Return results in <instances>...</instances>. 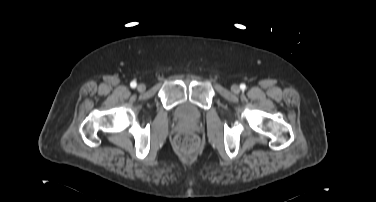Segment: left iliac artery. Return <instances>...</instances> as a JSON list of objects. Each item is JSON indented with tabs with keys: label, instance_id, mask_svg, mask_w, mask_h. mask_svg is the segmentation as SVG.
<instances>
[{
	"label": "left iliac artery",
	"instance_id": "obj_1",
	"mask_svg": "<svg viewBox=\"0 0 376 202\" xmlns=\"http://www.w3.org/2000/svg\"><path fill=\"white\" fill-rule=\"evenodd\" d=\"M240 88H241L242 90H245V89H246V85H245V84H241V85H240Z\"/></svg>",
	"mask_w": 376,
	"mask_h": 202
}]
</instances>
